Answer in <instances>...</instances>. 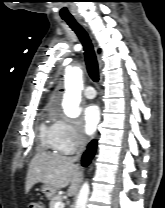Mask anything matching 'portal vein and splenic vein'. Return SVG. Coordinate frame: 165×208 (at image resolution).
Listing matches in <instances>:
<instances>
[{"label": "portal vein and splenic vein", "mask_w": 165, "mask_h": 208, "mask_svg": "<svg viewBox=\"0 0 165 208\" xmlns=\"http://www.w3.org/2000/svg\"><path fill=\"white\" fill-rule=\"evenodd\" d=\"M65 204L63 202H57L55 208H64Z\"/></svg>", "instance_id": "portal-vein-and-splenic-vein-1"}]
</instances>
